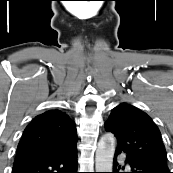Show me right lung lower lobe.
<instances>
[{"label": "right lung lower lobe", "instance_id": "right-lung-lower-lobe-1", "mask_svg": "<svg viewBox=\"0 0 173 173\" xmlns=\"http://www.w3.org/2000/svg\"><path fill=\"white\" fill-rule=\"evenodd\" d=\"M12 173H78L77 149L41 158L14 162Z\"/></svg>", "mask_w": 173, "mask_h": 173}]
</instances>
